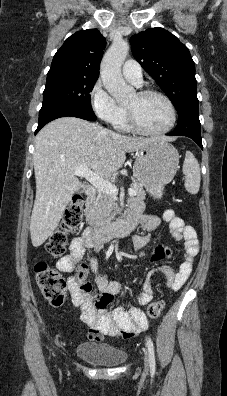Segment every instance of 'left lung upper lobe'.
I'll list each match as a JSON object with an SVG mask.
<instances>
[{
  "instance_id": "left-lung-upper-lobe-1",
  "label": "left lung upper lobe",
  "mask_w": 227,
  "mask_h": 396,
  "mask_svg": "<svg viewBox=\"0 0 227 396\" xmlns=\"http://www.w3.org/2000/svg\"><path fill=\"white\" fill-rule=\"evenodd\" d=\"M130 43L135 59L169 97L178 114L198 105L195 64L176 36L156 27L132 36Z\"/></svg>"
}]
</instances>
